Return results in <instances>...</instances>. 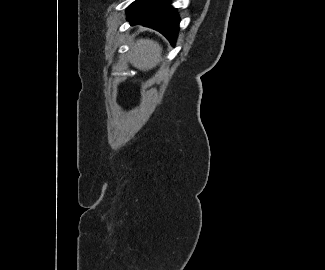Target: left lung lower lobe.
Returning <instances> with one entry per match:
<instances>
[{
  "label": "left lung lower lobe",
  "instance_id": "0a47b994",
  "mask_svg": "<svg viewBox=\"0 0 325 270\" xmlns=\"http://www.w3.org/2000/svg\"><path fill=\"white\" fill-rule=\"evenodd\" d=\"M170 2L171 0H136L127 8L128 19L131 24L159 31L174 45L180 19Z\"/></svg>",
  "mask_w": 325,
  "mask_h": 270
}]
</instances>
